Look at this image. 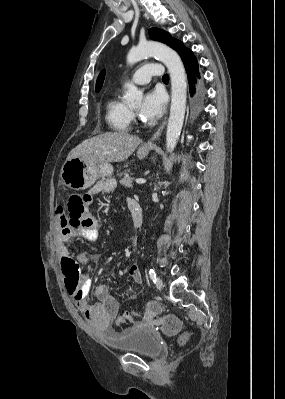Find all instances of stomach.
Segmentation results:
<instances>
[{
    "label": "stomach",
    "instance_id": "stomach-1",
    "mask_svg": "<svg viewBox=\"0 0 285 399\" xmlns=\"http://www.w3.org/2000/svg\"><path fill=\"white\" fill-rule=\"evenodd\" d=\"M147 153L148 150L141 151L139 157L142 158ZM113 171L110 163L93 164L72 158L62 165L60 178L63 185L73 190H84L91 187L99 177H111Z\"/></svg>",
    "mask_w": 285,
    "mask_h": 399
}]
</instances>
